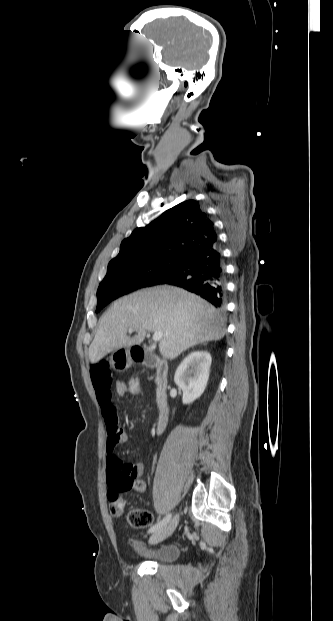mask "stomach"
I'll return each mask as SVG.
<instances>
[{
	"label": "stomach",
	"instance_id": "stomach-1",
	"mask_svg": "<svg viewBox=\"0 0 333 621\" xmlns=\"http://www.w3.org/2000/svg\"><path fill=\"white\" fill-rule=\"evenodd\" d=\"M116 365L123 362L122 365H127L130 362L129 350L122 348L116 349L113 354ZM119 362V363H118Z\"/></svg>",
	"mask_w": 333,
	"mask_h": 621
}]
</instances>
